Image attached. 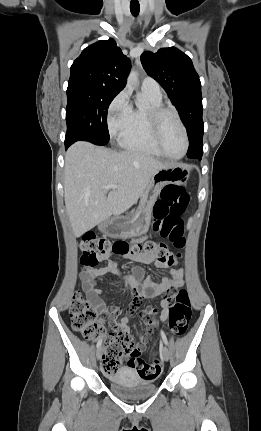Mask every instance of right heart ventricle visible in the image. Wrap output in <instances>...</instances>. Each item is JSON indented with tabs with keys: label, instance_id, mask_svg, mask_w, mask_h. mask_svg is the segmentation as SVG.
Listing matches in <instances>:
<instances>
[{
	"label": "right heart ventricle",
	"instance_id": "1",
	"mask_svg": "<svg viewBox=\"0 0 261 431\" xmlns=\"http://www.w3.org/2000/svg\"><path fill=\"white\" fill-rule=\"evenodd\" d=\"M144 94L150 106H162L161 95H154L148 91H144ZM146 111L140 108L132 109L128 124L119 135V145L132 152L162 157L152 139Z\"/></svg>",
	"mask_w": 261,
	"mask_h": 431
}]
</instances>
